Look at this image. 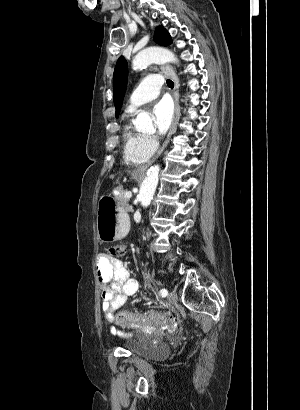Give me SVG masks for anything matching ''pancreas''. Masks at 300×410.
Here are the masks:
<instances>
[{
  "label": "pancreas",
  "instance_id": "cf45deb5",
  "mask_svg": "<svg viewBox=\"0 0 300 410\" xmlns=\"http://www.w3.org/2000/svg\"><path fill=\"white\" fill-rule=\"evenodd\" d=\"M125 191H120V194L115 196L118 203L127 211H133L132 206L129 205V199L125 197Z\"/></svg>",
  "mask_w": 300,
  "mask_h": 410
}]
</instances>
